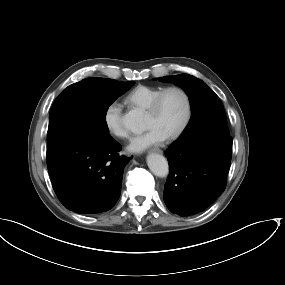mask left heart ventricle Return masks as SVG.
Segmentation results:
<instances>
[{"label": "left heart ventricle", "mask_w": 285, "mask_h": 285, "mask_svg": "<svg viewBox=\"0 0 285 285\" xmlns=\"http://www.w3.org/2000/svg\"><path fill=\"white\" fill-rule=\"evenodd\" d=\"M185 114V100L177 91L168 92L162 99L158 111L146 113V127L156 128L165 136L175 132Z\"/></svg>", "instance_id": "1"}]
</instances>
